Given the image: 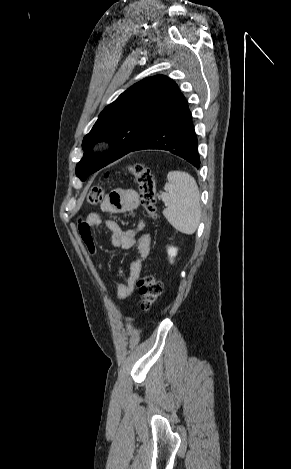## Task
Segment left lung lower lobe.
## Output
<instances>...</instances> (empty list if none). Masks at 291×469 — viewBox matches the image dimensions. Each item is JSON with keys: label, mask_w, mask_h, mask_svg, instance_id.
<instances>
[{"label": "left lung lower lobe", "mask_w": 291, "mask_h": 469, "mask_svg": "<svg viewBox=\"0 0 291 469\" xmlns=\"http://www.w3.org/2000/svg\"><path fill=\"white\" fill-rule=\"evenodd\" d=\"M143 149L170 151L196 168H200L198 140L185 98L162 123L150 131L127 153Z\"/></svg>", "instance_id": "obj_1"}]
</instances>
